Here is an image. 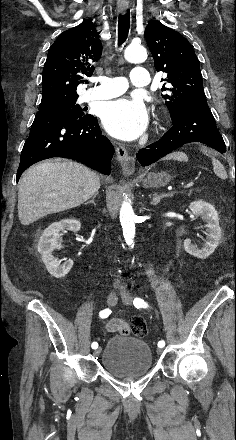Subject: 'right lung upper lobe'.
I'll return each mask as SVG.
<instances>
[{"label": "right lung upper lobe", "mask_w": 236, "mask_h": 440, "mask_svg": "<svg viewBox=\"0 0 236 440\" xmlns=\"http://www.w3.org/2000/svg\"><path fill=\"white\" fill-rule=\"evenodd\" d=\"M101 54V41L90 19L61 33L50 47L43 68L39 107L76 101L78 84L93 74V64Z\"/></svg>", "instance_id": "1"}]
</instances>
